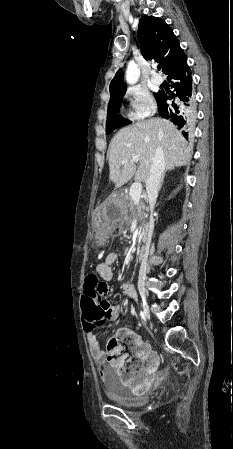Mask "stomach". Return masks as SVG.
I'll list each match as a JSON object with an SVG mask.
<instances>
[{
	"mask_svg": "<svg viewBox=\"0 0 233 449\" xmlns=\"http://www.w3.org/2000/svg\"><path fill=\"white\" fill-rule=\"evenodd\" d=\"M121 197L114 195L109 198L101 207L100 212L95 213L97 227L103 228L114 227L115 223L122 217Z\"/></svg>",
	"mask_w": 233,
	"mask_h": 449,
	"instance_id": "stomach-1",
	"label": "stomach"
}]
</instances>
